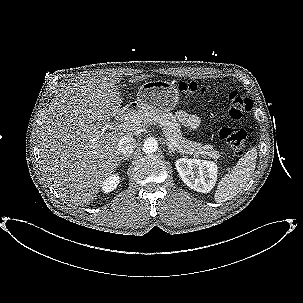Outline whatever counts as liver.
<instances>
[{"label":"liver","mask_w":303,"mask_h":303,"mask_svg":"<svg viewBox=\"0 0 303 303\" xmlns=\"http://www.w3.org/2000/svg\"><path fill=\"white\" fill-rule=\"evenodd\" d=\"M135 76L130 83L145 80ZM119 78L101 74L75 80L52 99L40 129L43 171L60 197L89 205L102 183L118 166V142L131 129L101 132L96 121L105 122L121 111Z\"/></svg>","instance_id":"liver-1"}]
</instances>
